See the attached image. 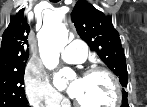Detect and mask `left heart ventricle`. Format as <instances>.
<instances>
[{
  "instance_id": "left-heart-ventricle-1",
  "label": "left heart ventricle",
  "mask_w": 147,
  "mask_h": 107,
  "mask_svg": "<svg viewBox=\"0 0 147 107\" xmlns=\"http://www.w3.org/2000/svg\"><path fill=\"white\" fill-rule=\"evenodd\" d=\"M81 87L76 99L89 107L109 106L114 100V89L105 75L80 79Z\"/></svg>"
}]
</instances>
